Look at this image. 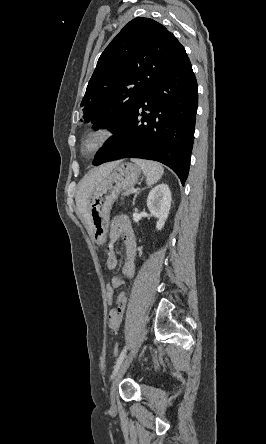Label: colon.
Instances as JSON below:
<instances>
[{
  "mask_svg": "<svg viewBox=\"0 0 266 444\" xmlns=\"http://www.w3.org/2000/svg\"><path fill=\"white\" fill-rule=\"evenodd\" d=\"M114 290L115 287L112 283V279L109 280L105 286V296H106V301L108 305H112L115 301V295H114ZM113 352L114 354H118L119 352V346L116 344L113 348Z\"/></svg>",
  "mask_w": 266,
  "mask_h": 444,
  "instance_id": "obj_1",
  "label": "colon"
}]
</instances>
